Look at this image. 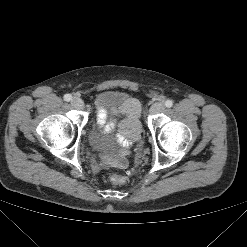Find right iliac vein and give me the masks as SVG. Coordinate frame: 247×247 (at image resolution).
Listing matches in <instances>:
<instances>
[{"instance_id":"right-iliac-vein-1","label":"right iliac vein","mask_w":247,"mask_h":247,"mask_svg":"<svg viewBox=\"0 0 247 247\" xmlns=\"http://www.w3.org/2000/svg\"><path fill=\"white\" fill-rule=\"evenodd\" d=\"M71 104L78 109H81L84 107V102L81 98L79 97H73L71 100Z\"/></svg>"}]
</instances>
